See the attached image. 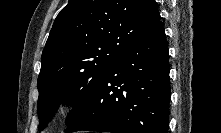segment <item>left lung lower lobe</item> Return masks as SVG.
Segmentation results:
<instances>
[{"label": "left lung lower lobe", "instance_id": "obj_1", "mask_svg": "<svg viewBox=\"0 0 221 133\" xmlns=\"http://www.w3.org/2000/svg\"><path fill=\"white\" fill-rule=\"evenodd\" d=\"M169 70L165 32L158 21L123 50L65 132L167 133Z\"/></svg>", "mask_w": 221, "mask_h": 133}]
</instances>
